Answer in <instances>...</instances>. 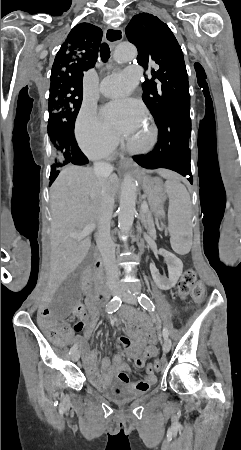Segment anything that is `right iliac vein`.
<instances>
[{
    "mask_svg": "<svg viewBox=\"0 0 241 450\" xmlns=\"http://www.w3.org/2000/svg\"><path fill=\"white\" fill-rule=\"evenodd\" d=\"M116 294H118V291H117V290H114V291H113V295H116ZM80 354H81L80 350L75 351V352L73 353V355H72V360H73V361H78V359L80 358Z\"/></svg>",
    "mask_w": 241,
    "mask_h": 450,
    "instance_id": "right-iliac-vein-1",
    "label": "right iliac vein"
}]
</instances>
